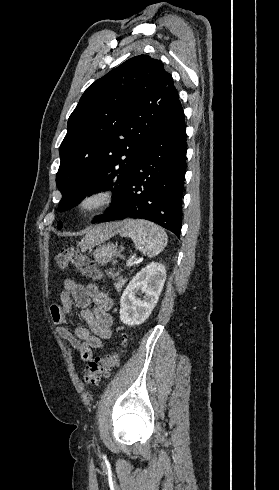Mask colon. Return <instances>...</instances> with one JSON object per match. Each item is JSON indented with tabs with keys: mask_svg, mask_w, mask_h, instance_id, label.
<instances>
[{
	"mask_svg": "<svg viewBox=\"0 0 279 490\" xmlns=\"http://www.w3.org/2000/svg\"><path fill=\"white\" fill-rule=\"evenodd\" d=\"M55 263L60 268L72 266L83 276L91 279L102 277V272L94 260L75 246H70L60 251L55 256ZM127 346V340H123L112 354L102 358L91 359L82 374L84 384L89 386L96 385L101 376L106 375L111 368L119 364Z\"/></svg>",
	"mask_w": 279,
	"mask_h": 490,
	"instance_id": "5ec220e1",
	"label": "colon"
}]
</instances>
